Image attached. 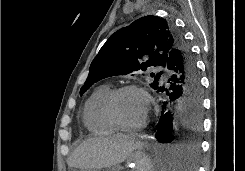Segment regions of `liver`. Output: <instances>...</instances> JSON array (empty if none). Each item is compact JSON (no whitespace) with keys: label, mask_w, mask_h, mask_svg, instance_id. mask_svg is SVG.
<instances>
[{"label":"liver","mask_w":245,"mask_h":171,"mask_svg":"<svg viewBox=\"0 0 245 171\" xmlns=\"http://www.w3.org/2000/svg\"><path fill=\"white\" fill-rule=\"evenodd\" d=\"M143 143L125 134L89 138L81 143L69 157V167L80 169L109 168L124 162Z\"/></svg>","instance_id":"obj_1"}]
</instances>
